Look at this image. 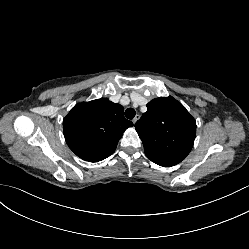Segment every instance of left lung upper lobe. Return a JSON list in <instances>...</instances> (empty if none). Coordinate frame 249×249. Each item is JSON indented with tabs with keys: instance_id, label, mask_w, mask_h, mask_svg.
Instances as JSON below:
<instances>
[{
	"instance_id": "obj_1",
	"label": "left lung upper lobe",
	"mask_w": 249,
	"mask_h": 249,
	"mask_svg": "<svg viewBox=\"0 0 249 249\" xmlns=\"http://www.w3.org/2000/svg\"><path fill=\"white\" fill-rule=\"evenodd\" d=\"M147 108V112L135 124L146 156L163 167L180 163L194 144V118L171 96L153 99Z\"/></svg>"
}]
</instances>
